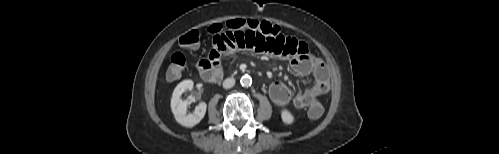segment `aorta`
Instances as JSON below:
<instances>
[{
  "mask_svg": "<svg viewBox=\"0 0 499 154\" xmlns=\"http://www.w3.org/2000/svg\"><path fill=\"white\" fill-rule=\"evenodd\" d=\"M240 83L243 87H249L252 84V78L249 75H244L241 77Z\"/></svg>",
  "mask_w": 499,
  "mask_h": 154,
  "instance_id": "1",
  "label": "aorta"
}]
</instances>
